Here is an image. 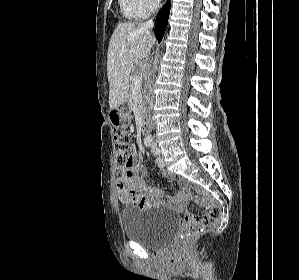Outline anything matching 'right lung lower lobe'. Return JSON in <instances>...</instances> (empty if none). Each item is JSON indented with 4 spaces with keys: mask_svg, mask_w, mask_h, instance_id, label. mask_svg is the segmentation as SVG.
I'll list each match as a JSON object with an SVG mask.
<instances>
[{
    "mask_svg": "<svg viewBox=\"0 0 299 280\" xmlns=\"http://www.w3.org/2000/svg\"><path fill=\"white\" fill-rule=\"evenodd\" d=\"M169 12H170V0L166 2V4L159 11L158 16L156 17L155 36L157 37L159 42H161L164 32L166 30L168 18H169Z\"/></svg>",
    "mask_w": 299,
    "mask_h": 280,
    "instance_id": "right-lung-lower-lobe-1",
    "label": "right lung lower lobe"
}]
</instances>
